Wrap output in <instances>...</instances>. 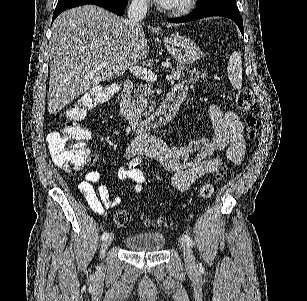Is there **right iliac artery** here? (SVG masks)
Listing matches in <instances>:
<instances>
[{"mask_svg":"<svg viewBox=\"0 0 307 301\" xmlns=\"http://www.w3.org/2000/svg\"><path fill=\"white\" fill-rule=\"evenodd\" d=\"M138 162H139V158H136V159H134V160H132L131 162H130V167L133 165V166H135L136 164H138ZM108 232H104L103 234H102V236H101V239L102 240H104L105 238H107L108 237Z\"/></svg>","mask_w":307,"mask_h":301,"instance_id":"right-iliac-artery-1","label":"right iliac artery"}]
</instances>
